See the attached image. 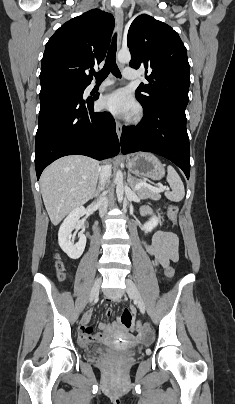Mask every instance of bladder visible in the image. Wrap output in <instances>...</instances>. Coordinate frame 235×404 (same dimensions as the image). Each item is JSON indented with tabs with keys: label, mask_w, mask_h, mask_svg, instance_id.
Here are the masks:
<instances>
[{
	"label": "bladder",
	"mask_w": 235,
	"mask_h": 404,
	"mask_svg": "<svg viewBox=\"0 0 235 404\" xmlns=\"http://www.w3.org/2000/svg\"><path fill=\"white\" fill-rule=\"evenodd\" d=\"M108 353L113 354L115 356H123L126 353V351L118 349V348L111 345V346H109L107 348H104V349L98 351V352H92L91 355L94 358H103Z\"/></svg>",
	"instance_id": "31cf9c89"
}]
</instances>
